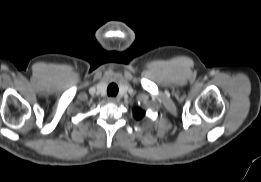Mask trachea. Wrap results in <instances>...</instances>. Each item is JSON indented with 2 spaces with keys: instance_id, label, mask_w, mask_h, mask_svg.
I'll list each match as a JSON object with an SVG mask.
<instances>
[{
  "instance_id": "1",
  "label": "trachea",
  "mask_w": 261,
  "mask_h": 182,
  "mask_svg": "<svg viewBox=\"0 0 261 182\" xmlns=\"http://www.w3.org/2000/svg\"><path fill=\"white\" fill-rule=\"evenodd\" d=\"M108 96H116L118 94V86L115 83H111L107 88Z\"/></svg>"
}]
</instances>
